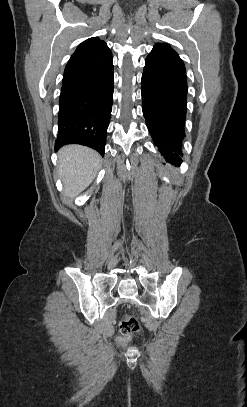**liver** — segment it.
Returning a JSON list of instances; mask_svg holds the SVG:
<instances>
[{
	"label": "liver",
	"mask_w": 247,
	"mask_h": 407,
	"mask_svg": "<svg viewBox=\"0 0 247 407\" xmlns=\"http://www.w3.org/2000/svg\"><path fill=\"white\" fill-rule=\"evenodd\" d=\"M59 177L62 179L64 194L75 198L94 180L100 167L99 154L85 146L67 145L59 153Z\"/></svg>",
	"instance_id": "obj_1"
}]
</instances>
